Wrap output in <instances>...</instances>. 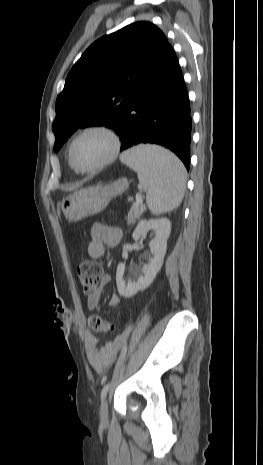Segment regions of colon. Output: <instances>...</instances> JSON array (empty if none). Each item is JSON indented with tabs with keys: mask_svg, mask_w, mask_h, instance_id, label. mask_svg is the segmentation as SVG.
Here are the masks:
<instances>
[{
	"mask_svg": "<svg viewBox=\"0 0 263 465\" xmlns=\"http://www.w3.org/2000/svg\"><path fill=\"white\" fill-rule=\"evenodd\" d=\"M78 279L83 290L88 293H94L99 286L102 277L101 266L90 259H84L78 264L77 268ZM88 326L92 331L105 333L110 331L114 324L103 320L98 315L92 314L88 317Z\"/></svg>",
	"mask_w": 263,
	"mask_h": 465,
	"instance_id": "obj_1",
	"label": "colon"
}]
</instances>
